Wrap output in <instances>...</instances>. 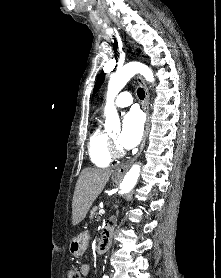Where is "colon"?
<instances>
[{
  "instance_id": "1",
  "label": "colon",
  "mask_w": 221,
  "mask_h": 278,
  "mask_svg": "<svg viewBox=\"0 0 221 278\" xmlns=\"http://www.w3.org/2000/svg\"><path fill=\"white\" fill-rule=\"evenodd\" d=\"M65 278H83V274L79 268L72 266L67 269Z\"/></svg>"
}]
</instances>
